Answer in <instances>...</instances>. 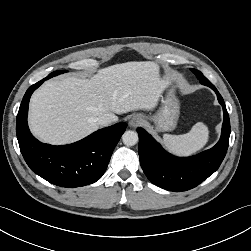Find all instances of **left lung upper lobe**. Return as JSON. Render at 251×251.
<instances>
[{"instance_id":"obj_1","label":"left lung upper lobe","mask_w":251,"mask_h":251,"mask_svg":"<svg viewBox=\"0 0 251 251\" xmlns=\"http://www.w3.org/2000/svg\"><path fill=\"white\" fill-rule=\"evenodd\" d=\"M191 71L197 76L201 83L209 82V80L198 70L191 69Z\"/></svg>"}]
</instances>
